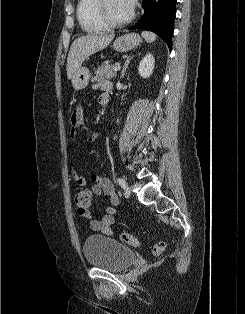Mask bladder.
Instances as JSON below:
<instances>
[{
	"label": "bladder",
	"instance_id": "obj_1",
	"mask_svg": "<svg viewBox=\"0 0 245 314\" xmlns=\"http://www.w3.org/2000/svg\"><path fill=\"white\" fill-rule=\"evenodd\" d=\"M83 254L88 264L112 272L125 270L136 259L134 250L102 235L88 236L83 244Z\"/></svg>",
	"mask_w": 245,
	"mask_h": 314
}]
</instances>
